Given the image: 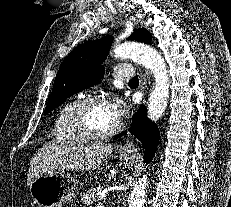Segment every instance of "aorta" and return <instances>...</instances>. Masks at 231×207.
Here are the masks:
<instances>
[{"mask_svg": "<svg viewBox=\"0 0 231 207\" xmlns=\"http://www.w3.org/2000/svg\"><path fill=\"white\" fill-rule=\"evenodd\" d=\"M113 55L120 59L136 60L153 74L155 85L148 100L147 115L151 121L159 120L164 114L169 97V75L164 59L155 49L137 42H125L116 46ZM147 185L146 175L134 183L128 207H144Z\"/></svg>", "mask_w": 231, "mask_h": 207, "instance_id": "obj_1", "label": "aorta"}]
</instances>
